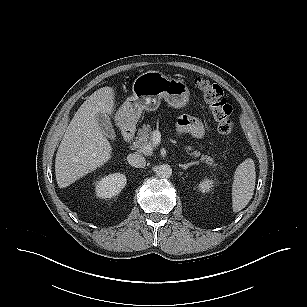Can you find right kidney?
<instances>
[{
    "instance_id": "1",
    "label": "right kidney",
    "mask_w": 307,
    "mask_h": 307,
    "mask_svg": "<svg viewBox=\"0 0 307 307\" xmlns=\"http://www.w3.org/2000/svg\"><path fill=\"white\" fill-rule=\"evenodd\" d=\"M126 176L122 173H113L102 177L95 185V192L99 198H111L118 195L125 187Z\"/></svg>"
}]
</instances>
